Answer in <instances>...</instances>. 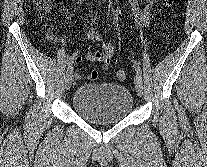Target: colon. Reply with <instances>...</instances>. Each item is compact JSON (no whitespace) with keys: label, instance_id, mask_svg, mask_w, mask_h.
<instances>
[{"label":"colon","instance_id":"5ec220e1","mask_svg":"<svg viewBox=\"0 0 207 167\" xmlns=\"http://www.w3.org/2000/svg\"><path fill=\"white\" fill-rule=\"evenodd\" d=\"M34 2H35L37 10L41 13H45L49 10L51 0H34ZM164 2L166 6L171 7L174 4L175 0H164ZM116 74L119 80L124 81L128 78V72L124 69L118 70ZM97 76H98V73L96 71H92L88 75L89 79L91 80H95Z\"/></svg>","mask_w":207,"mask_h":167}]
</instances>
